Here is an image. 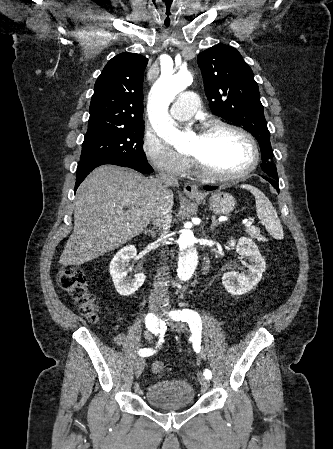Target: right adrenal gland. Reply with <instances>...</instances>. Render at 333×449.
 Returning <instances> with one entry per match:
<instances>
[{
  "label": "right adrenal gland",
  "instance_id": "right-adrenal-gland-1",
  "mask_svg": "<svg viewBox=\"0 0 333 449\" xmlns=\"http://www.w3.org/2000/svg\"><path fill=\"white\" fill-rule=\"evenodd\" d=\"M146 232L151 233L152 235L155 233V231L153 229H151V230L149 229Z\"/></svg>",
  "mask_w": 333,
  "mask_h": 449
}]
</instances>
